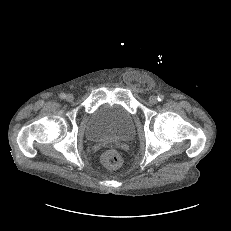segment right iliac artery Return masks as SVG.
I'll list each match as a JSON object with an SVG mask.
<instances>
[{
    "mask_svg": "<svg viewBox=\"0 0 231 231\" xmlns=\"http://www.w3.org/2000/svg\"><path fill=\"white\" fill-rule=\"evenodd\" d=\"M59 97H60L61 99H65L66 95H65L64 93H61V94L59 95Z\"/></svg>",
    "mask_w": 231,
    "mask_h": 231,
    "instance_id": "obj_1",
    "label": "right iliac artery"
}]
</instances>
